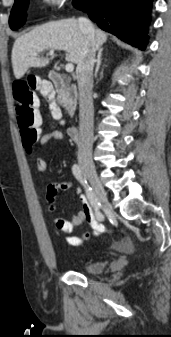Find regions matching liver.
<instances>
[{
	"instance_id": "6515ba94",
	"label": "liver",
	"mask_w": 171,
	"mask_h": 337,
	"mask_svg": "<svg viewBox=\"0 0 171 337\" xmlns=\"http://www.w3.org/2000/svg\"><path fill=\"white\" fill-rule=\"evenodd\" d=\"M85 34L74 18L52 21L36 27L18 37L12 48V66L16 79H20L30 67H45L49 59L36 57L34 53L47 50H63L66 61L78 65L81 57ZM107 40V35L100 29L95 30L94 45L99 49Z\"/></svg>"
}]
</instances>
